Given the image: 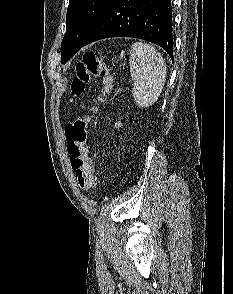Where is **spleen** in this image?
Returning <instances> with one entry per match:
<instances>
[{
    "label": "spleen",
    "instance_id": "spleen-1",
    "mask_svg": "<svg viewBox=\"0 0 233 294\" xmlns=\"http://www.w3.org/2000/svg\"><path fill=\"white\" fill-rule=\"evenodd\" d=\"M129 63L136 105L141 108L153 105L166 81V64L162 55L148 43L135 42L131 46Z\"/></svg>",
    "mask_w": 233,
    "mask_h": 294
}]
</instances>
